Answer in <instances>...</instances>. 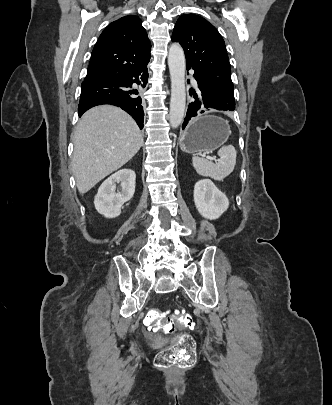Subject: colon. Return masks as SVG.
Segmentation results:
<instances>
[{"mask_svg":"<svg viewBox=\"0 0 332 405\" xmlns=\"http://www.w3.org/2000/svg\"><path fill=\"white\" fill-rule=\"evenodd\" d=\"M146 328H163L166 332H173L176 327L191 328L193 318L187 313L165 314L159 310H151L145 317ZM195 342L188 334L177 337V342L156 357L155 363L159 367H190L196 359Z\"/></svg>","mask_w":332,"mask_h":405,"instance_id":"obj_1","label":"colon"}]
</instances>
